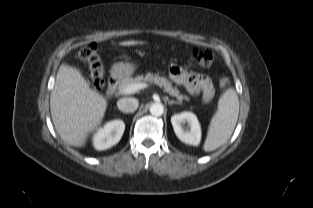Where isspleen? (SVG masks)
I'll return each instance as SVG.
<instances>
[{
  "mask_svg": "<svg viewBox=\"0 0 313 208\" xmlns=\"http://www.w3.org/2000/svg\"><path fill=\"white\" fill-rule=\"evenodd\" d=\"M239 114V100L235 90L228 89L218 101V110L211 120L203 149L216 150L232 135Z\"/></svg>",
  "mask_w": 313,
  "mask_h": 208,
  "instance_id": "1",
  "label": "spleen"
}]
</instances>
